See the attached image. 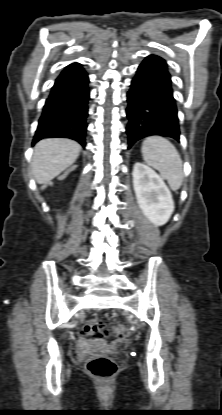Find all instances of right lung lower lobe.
Masks as SVG:
<instances>
[{
    "instance_id": "right-lung-lower-lobe-1",
    "label": "right lung lower lobe",
    "mask_w": 222,
    "mask_h": 415,
    "mask_svg": "<svg viewBox=\"0 0 222 415\" xmlns=\"http://www.w3.org/2000/svg\"><path fill=\"white\" fill-rule=\"evenodd\" d=\"M88 83L81 64L72 63L63 69L45 102L33 144L47 137H65L85 146Z\"/></svg>"
}]
</instances>
